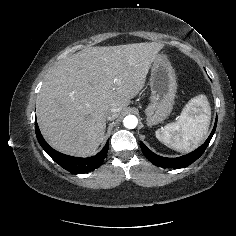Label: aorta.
Segmentation results:
<instances>
[{"instance_id":"aorta-1","label":"aorta","mask_w":236,"mask_h":236,"mask_svg":"<svg viewBox=\"0 0 236 236\" xmlns=\"http://www.w3.org/2000/svg\"><path fill=\"white\" fill-rule=\"evenodd\" d=\"M138 124V119L134 115H128L123 120V125L128 129H134Z\"/></svg>"}]
</instances>
